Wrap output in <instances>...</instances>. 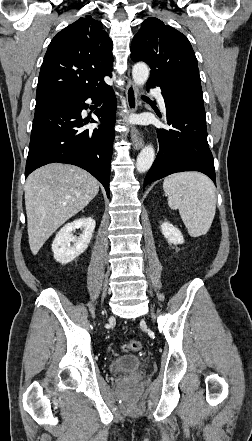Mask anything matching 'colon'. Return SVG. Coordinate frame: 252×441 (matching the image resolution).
<instances>
[{
    "instance_id": "5ec220e1",
    "label": "colon",
    "mask_w": 252,
    "mask_h": 441,
    "mask_svg": "<svg viewBox=\"0 0 252 441\" xmlns=\"http://www.w3.org/2000/svg\"><path fill=\"white\" fill-rule=\"evenodd\" d=\"M122 348L126 352H137L141 349V343L137 340H130Z\"/></svg>"
}]
</instances>
